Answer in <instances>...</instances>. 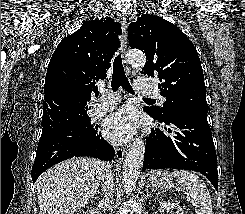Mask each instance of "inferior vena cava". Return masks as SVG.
<instances>
[{
  "mask_svg": "<svg viewBox=\"0 0 245 214\" xmlns=\"http://www.w3.org/2000/svg\"><path fill=\"white\" fill-rule=\"evenodd\" d=\"M113 185H114V178H113V173L111 170V166L109 165L107 167V172L106 175L103 178V185H102V191L104 193V197H105V202L106 203H110V197H111V193L113 190Z\"/></svg>",
  "mask_w": 245,
  "mask_h": 214,
  "instance_id": "602c4592",
  "label": "inferior vena cava"
}]
</instances>
